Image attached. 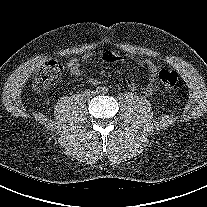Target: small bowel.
<instances>
[{"mask_svg": "<svg viewBox=\"0 0 207 207\" xmlns=\"http://www.w3.org/2000/svg\"><path fill=\"white\" fill-rule=\"evenodd\" d=\"M90 57L91 53H85L80 59L71 58L67 62V67L70 73L76 77L81 76V62L87 61ZM102 58L105 62L108 63L118 62L121 59L117 53L111 51H103ZM139 63L148 71V84L144 87L143 92L145 95L151 96L156 92L158 88V69L152 61L147 59L139 60ZM93 82L95 81L93 80ZM126 83L130 89H137V83L135 80L129 79Z\"/></svg>", "mask_w": 207, "mask_h": 207, "instance_id": "1", "label": "small bowel"}]
</instances>
